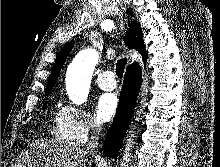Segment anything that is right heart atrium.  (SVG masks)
Wrapping results in <instances>:
<instances>
[{
    "mask_svg": "<svg viewBox=\"0 0 220 167\" xmlns=\"http://www.w3.org/2000/svg\"><path fill=\"white\" fill-rule=\"evenodd\" d=\"M60 124L73 143H83L99 131V125L85 109L72 104L64 105L58 114Z\"/></svg>",
    "mask_w": 220,
    "mask_h": 167,
    "instance_id": "right-heart-atrium-1",
    "label": "right heart atrium"
}]
</instances>
